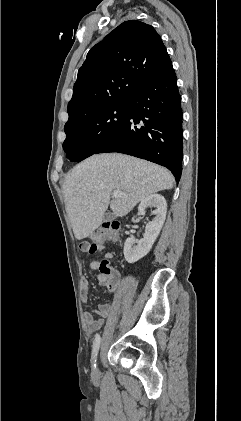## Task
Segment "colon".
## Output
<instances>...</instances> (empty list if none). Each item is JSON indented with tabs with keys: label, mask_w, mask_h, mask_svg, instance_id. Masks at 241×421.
<instances>
[{
	"label": "colon",
	"mask_w": 241,
	"mask_h": 421,
	"mask_svg": "<svg viewBox=\"0 0 241 421\" xmlns=\"http://www.w3.org/2000/svg\"><path fill=\"white\" fill-rule=\"evenodd\" d=\"M119 235L120 228L118 223L105 222L92 235V242H82L80 248L88 254H94L97 252L98 246L102 245L106 241H117L119 239ZM100 272L106 276L112 275V267L110 266L109 260H103L101 262Z\"/></svg>",
	"instance_id": "1"
}]
</instances>
